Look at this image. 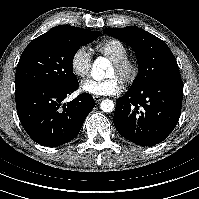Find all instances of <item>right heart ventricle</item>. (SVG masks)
Instances as JSON below:
<instances>
[{"label": "right heart ventricle", "instance_id": "right-heart-ventricle-1", "mask_svg": "<svg viewBox=\"0 0 199 199\" xmlns=\"http://www.w3.org/2000/svg\"><path fill=\"white\" fill-rule=\"evenodd\" d=\"M96 51L108 58L110 61L117 62L128 55L127 46L117 39H107L98 43Z\"/></svg>", "mask_w": 199, "mask_h": 199}]
</instances>
